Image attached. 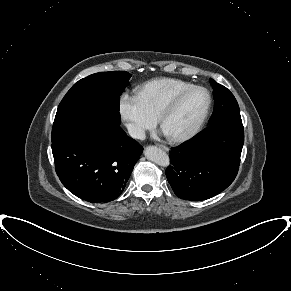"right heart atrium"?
<instances>
[{
    "mask_svg": "<svg viewBox=\"0 0 291 291\" xmlns=\"http://www.w3.org/2000/svg\"><path fill=\"white\" fill-rule=\"evenodd\" d=\"M119 110L128 132L136 139H141L147 130L156 125V118L145 109L137 96L123 94Z\"/></svg>",
    "mask_w": 291,
    "mask_h": 291,
    "instance_id": "obj_1",
    "label": "right heart atrium"
}]
</instances>
